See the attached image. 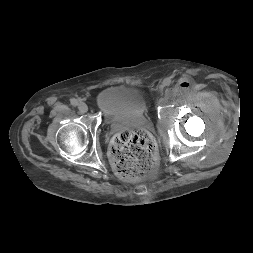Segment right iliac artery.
<instances>
[{
	"label": "right iliac artery",
	"mask_w": 253,
	"mask_h": 253,
	"mask_svg": "<svg viewBox=\"0 0 253 253\" xmlns=\"http://www.w3.org/2000/svg\"><path fill=\"white\" fill-rule=\"evenodd\" d=\"M70 103H71V105H73V106H77V105H78V100L75 99V98H73V99L70 100Z\"/></svg>",
	"instance_id": "1"
}]
</instances>
